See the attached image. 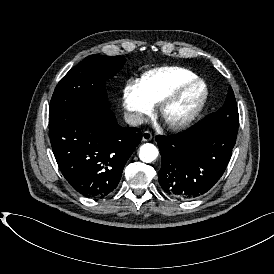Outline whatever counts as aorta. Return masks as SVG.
<instances>
[{"label":"aorta","mask_w":274,"mask_h":274,"mask_svg":"<svg viewBox=\"0 0 274 274\" xmlns=\"http://www.w3.org/2000/svg\"><path fill=\"white\" fill-rule=\"evenodd\" d=\"M158 149L150 143L143 144L139 150V158L145 163H151L158 157Z\"/></svg>","instance_id":"1"}]
</instances>
